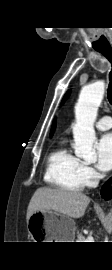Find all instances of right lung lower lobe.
I'll list each match as a JSON object with an SVG mask.
<instances>
[{"instance_id":"98d812e1","label":"right lung lower lobe","mask_w":112,"mask_h":270,"mask_svg":"<svg viewBox=\"0 0 112 270\" xmlns=\"http://www.w3.org/2000/svg\"><path fill=\"white\" fill-rule=\"evenodd\" d=\"M110 183L111 179L102 187L101 194L104 199H110L112 197V190H109Z\"/></svg>"}]
</instances>
